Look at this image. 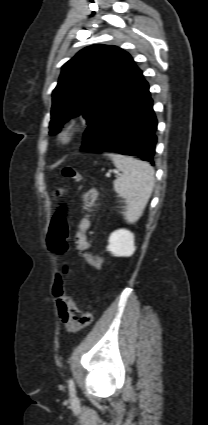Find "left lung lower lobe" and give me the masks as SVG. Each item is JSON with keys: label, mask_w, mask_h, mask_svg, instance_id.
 Here are the masks:
<instances>
[{"label": "left lung lower lobe", "mask_w": 208, "mask_h": 425, "mask_svg": "<svg viewBox=\"0 0 208 425\" xmlns=\"http://www.w3.org/2000/svg\"><path fill=\"white\" fill-rule=\"evenodd\" d=\"M152 102L140 71L88 126L81 149L138 156L153 165L157 120Z\"/></svg>", "instance_id": "left-lung-lower-lobe-1"}]
</instances>
